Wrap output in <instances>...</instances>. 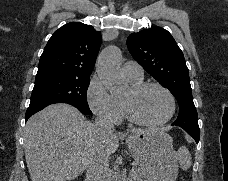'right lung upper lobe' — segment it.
<instances>
[{"mask_svg": "<svg viewBox=\"0 0 228 181\" xmlns=\"http://www.w3.org/2000/svg\"><path fill=\"white\" fill-rule=\"evenodd\" d=\"M101 35L91 25L71 22L56 30L41 55L36 77L90 78Z\"/></svg>", "mask_w": 228, "mask_h": 181, "instance_id": "1", "label": "right lung upper lobe"}]
</instances>
